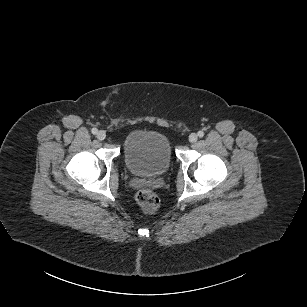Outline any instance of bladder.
Masks as SVG:
<instances>
[{
    "instance_id": "1",
    "label": "bladder",
    "mask_w": 307,
    "mask_h": 307,
    "mask_svg": "<svg viewBox=\"0 0 307 307\" xmlns=\"http://www.w3.org/2000/svg\"><path fill=\"white\" fill-rule=\"evenodd\" d=\"M123 152L127 169L141 177L163 174L172 160L171 142L164 133L158 131L131 132L124 141Z\"/></svg>"
}]
</instances>
